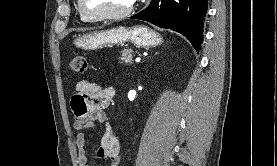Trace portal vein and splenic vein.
Segmentation results:
<instances>
[{
	"label": "portal vein and splenic vein",
	"mask_w": 277,
	"mask_h": 166,
	"mask_svg": "<svg viewBox=\"0 0 277 166\" xmlns=\"http://www.w3.org/2000/svg\"><path fill=\"white\" fill-rule=\"evenodd\" d=\"M140 60H141L140 57L135 59L136 62H140Z\"/></svg>",
	"instance_id": "18ae733b"
}]
</instances>
